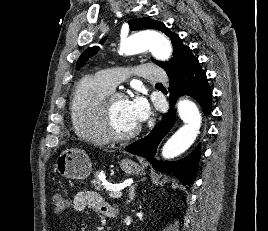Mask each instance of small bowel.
<instances>
[{"label":"small bowel","instance_id":"c3829d8e","mask_svg":"<svg viewBox=\"0 0 268 231\" xmlns=\"http://www.w3.org/2000/svg\"><path fill=\"white\" fill-rule=\"evenodd\" d=\"M72 208L76 214H82L87 209L95 210L105 216H112L114 211L104 198L95 191H80L73 199ZM73 226L69 231H77Z\"/></svg>","mask_w":268,"mask_h":231}]
</instances>
